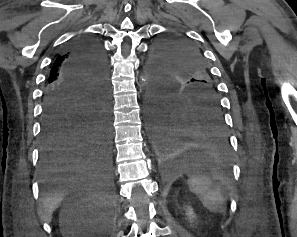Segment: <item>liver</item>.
<instances>
[{
  "label": "liver",
  "instance_id": "liver-1",
  "mask_svg": "<svg viewBox=\"0 0 297 237\" xmlns=\"http://www.w3.org/2000/svg\"><path fill=\"white\" fill-rule=\"evenodd\" d=\"M91 178L87 176L82 175H76V176H68L66 177L64 181V192H60L58 194H55L53 196L47 197L43 200V207L45 210V213L50 220L52 217L53 212L56 210L60 202L63 200L64 196L71 190H80L83 189L86 186H89L91 184Z\"/></svg>",
  "mask_w": 297,
  "mask_h": 237
}]
</instances>
